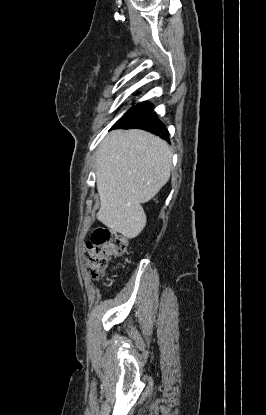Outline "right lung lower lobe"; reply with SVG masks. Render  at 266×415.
<instances>
[{
    "label": "right lung lower lobe",
    "mask_w": 266,
    "mask_h": 415,
    "mask_svg": "<svg viewBox=\"0 0 266 415\" xmlns=\"http://www.w3.org/2000/svg\"><path fill=\"white\" fill-rule=\"evenodd\" d=\"M113 128L142 129L169 141V132L166 126L158 119L153 111V106L147 102L132 107L115 123Z\"/></svg>",
    "instance_id": "1"
}]
</instances>
